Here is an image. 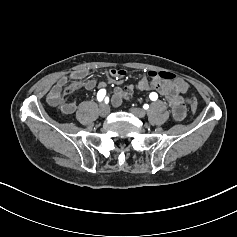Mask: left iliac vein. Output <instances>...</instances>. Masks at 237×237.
Returning a JSON list of instances; mask_svg holds the SVG:
<instances>
[{
  "mask_svg": "<svg viewBox=\"0 0 237 237\" xmlns=\"http://www.w3.org/2000/svg\"><path fill=\"white\" fill-rule=\"evenodd\" d=\"M131 112L139 118H142L146 115V111L142 108H132Z\"/></svg>",
  "mask_w": 237,
  "mask_h": 237,
  "instance_id": "obj_1",
  "label": "left iliac vein"
}]
</instances>
